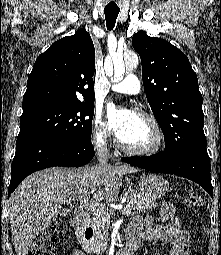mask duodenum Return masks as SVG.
I'll use <instances>...</instances> for the list:
<instances>
[{
	"instance_id": "obj_1",
	"label": "duodenum",
	"mask_w": 221,
	"mask_h": 255,
	"mask_svg": "<svg viewBox=\"0 0 221 255\" xmlns=\"http://www.w3.org/2000/svg\"><path fill=\"white\" fill-rule=\"evenodd\" d=\"M72 225L75 230L79 233L84 243L90 244L93 238V229L90 225L88 218L82 214H76L72 219ZM141 240L138 238H129L126 246L118 251L116 255H134V253L140 247Z\"/></svg>"
}]
</instances>
